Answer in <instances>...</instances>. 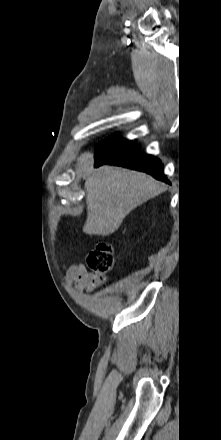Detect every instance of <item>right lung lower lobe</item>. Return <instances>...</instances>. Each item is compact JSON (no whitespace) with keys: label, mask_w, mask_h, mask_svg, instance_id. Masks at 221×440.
Instances as JSON below:
<instances>
[{"label":"right lung lower lobe","mask_w":221,"mask_h":440,"mask_svg":"<svg viewBox=\"0 0 221 440\" xmlns=\"http://www.w3.org/2000/svg\"><path fill=\"white\" fill-rule=\"evenodd\" d=\"M104 164L142 171L170 183L163 173V165L159 159L143 153L137 144L122 138L118 133L95 147V167Z\"/></svg>","instance_id":"1"}]
</instances>
